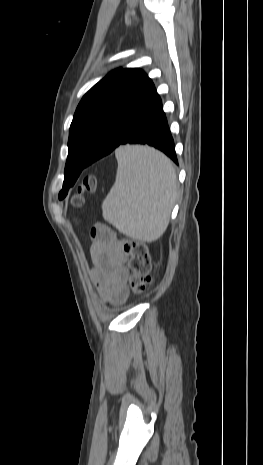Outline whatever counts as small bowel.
Listing matches in <instances>:
<instances>
[{
  "mask_svg": "<svg viewBox=\"0 0 263 465\" xmlns=\"http://www.w3.org/2000/svg\"><path fill=\"white\" fill-rule=\"evenodd\" d=\"M91 238L93 240L91 257L94 262V282L107 302L115 305L122 304L129 294L127 288L129 271L124 264L126 256L119 250L106 228L94 227L91 231Z\"/></svg>",
  "mask_w": 263,
  "mask_h": 465,
  "instance_id": "small-bowel-1",
  "label": "small bowel"
}]
</instances>
